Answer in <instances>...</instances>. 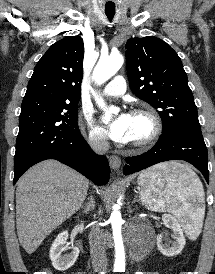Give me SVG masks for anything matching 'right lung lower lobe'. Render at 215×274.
I'll list each match as a JSON object with an SVG mask.
<instances>
[{
  "instance_id": "98d812e1",
  "label": "right lung lower lobe",
  "mask_w": 215,
  "mask_h": 274,
  "mask_svg": "<svg viewBox=\"0 0 215 274\" xmlns=\"http://www.w3.org/2000/svg\"><path fill=\"white\" fill-rule=\"evenodd\" d=\"M46 159H56L72 167L97 185L106 184L110 178L106 157L94 153L81 134L77 133L43 146L14 166L13 184L29 167Z\"/></svg>"
}]
</instances>
